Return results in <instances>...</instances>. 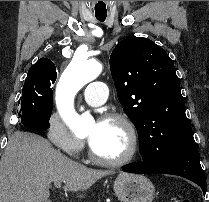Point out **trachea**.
Masks as SVG:
<instances>
[{
    "label": "trachea",
    "mask_w": 209,
    "mask_h": 202,
    "mask_svg": "<svg viewBox=\"0 0 209 202\" xmlns=\"http://www.w3.org/2000/svg\"><path fill=\"white\" fill-rule=\"evenodd\" d=\"M95 16L100 22H104L106 20V15H95Z\"/></svg>",
    "instance_id": "1"
}]
</instances>
